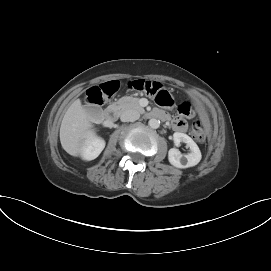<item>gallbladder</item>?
Segmentation results:
<instances>
[{
	"instance_id": "gallbladder-1",
	"label": "gallbladder",
	"mask_w": 271,
	"mask_h": 271,
	"mask_svg": "<svg viewBox=\"0 0 271 271\" xmlns=\"http://www.w3.org/2000/svg\"><path fill=\"white\" fill-rule=\"evenodd\" d=\"M92 120L97 121L102 119V110L98 106H92L87 108Z\"/></svg>"
}]
</instances>
